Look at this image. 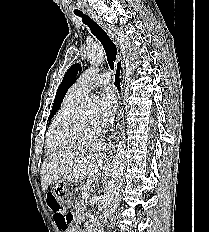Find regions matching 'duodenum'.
Instances as JSON below:
<instances>
[{"mask_svg": "<svg viewBox=\"0 0 209 232\" xmlns=\"http://www.w3.org/2000/svg\"><path fill=\"white\" fill-rule=\"evenodd\" d=\"M91 232H97V228H96L95 224L91 225Z\"/></svg>", "mask_w": 209, "mask_h": 232, "instance_id": "duodenum-1", "label": "duodenum"}]
</instances>
